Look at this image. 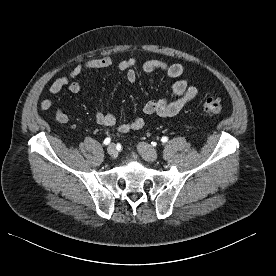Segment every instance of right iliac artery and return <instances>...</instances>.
<instances>
[{"mask_svg":"<svg viewBox=\"0 0 276 276\" xmlns=\"http://www.w3.org/2000/svg\"><path fill=\"white\" fill-rule=\"evenodd\" d=\"M111 141V138L110 137H107L105 140H104V144L105 145H108Z\"/></svg>","mask_w":276,"mask_h":276,"instance_id":"obj_1","label":"right iliac artery"}]
</instances>
